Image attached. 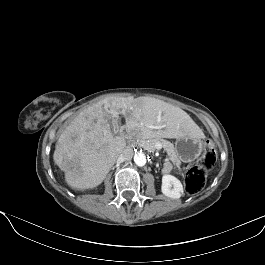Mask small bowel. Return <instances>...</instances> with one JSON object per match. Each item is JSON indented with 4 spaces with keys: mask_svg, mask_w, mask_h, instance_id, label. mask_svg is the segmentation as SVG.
Returning a JSON list of instances; mask_svg holds the SVG:
<instances>
[{
    "mask_svg": "<svg viewBox=\"0 0 265 265\" xmlns=\"http://www.w3.org/2000/svg\"><path fill=\"white\" fill-rule=\"evenodd\" d=\"M172 168H173L172 163L168 161V162H166V163L164 164L163 171H164L165 173H168V172H170V171L172 170Z\"/></svg>",
    "mask_w": 265,
    "mask_h": 265,
    "instance_id": "obj_1",
    "label": "small bowel"
}]
</instances>
